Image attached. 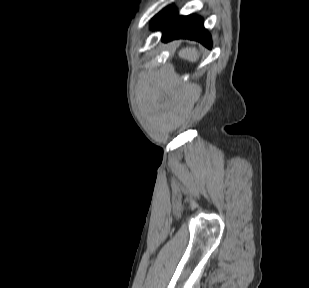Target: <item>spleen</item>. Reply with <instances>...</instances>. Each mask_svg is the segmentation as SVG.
<instances>
[{"label":"spleen","instance_id":"3e777b00","mask_svg":"<svg viewBox=\"0 0 309 288\" xmlns=\"http://www.w3.org/2000/svg\"><path fill=\"white\" fill-rule=\"evenodd\" d=\"M179 56L182 59L188 60L190 62H196L199 58L197 49L194 48H184L179 52Z\"/></svg>","mask_w":309,"mask_h":288}]
</instances>
